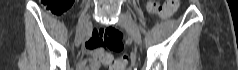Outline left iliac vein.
<instances>
[{
    "label": "left iliac vein",
    "mask_w": 238,
    "mask_h": 70,
    "mask_svg": "<svg viewBox=\"0 0 238 70\" xmlns=\"http://www.w3.org/2000/svg\"><path fill=\"white\" fill-rule=\"evenodd\" d=\"M118 25L127 30L136 44H141L142 40L139 29L129 13L120 14Z\"/></svg>",
    "instance_id": "4c4485c4"
}]
</instances>
